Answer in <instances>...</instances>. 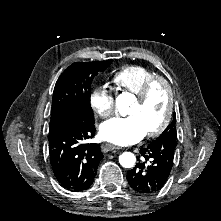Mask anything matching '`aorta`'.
Instances as JSON below:
<instances>
[{"instance_id": "aorta-1", "label": "aorta", "mask_w": 221, "mask_h": 221, "mask_svg": "<svg viewBox=\"0 0 221 221\" xmlns=\"http://www.w3.org/2000/svg\"><path fill=\"white\" fill-rule=\"evenodd\" d=\"M131 103L130 94H121L116 100L117 108L123 109ZM119 163L124 168H132L136 163V157L131 152H124L119 156Z\"/></svg>"}]
</instances>
